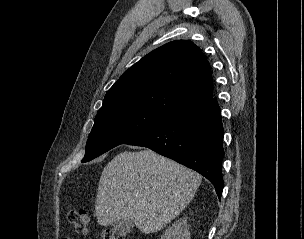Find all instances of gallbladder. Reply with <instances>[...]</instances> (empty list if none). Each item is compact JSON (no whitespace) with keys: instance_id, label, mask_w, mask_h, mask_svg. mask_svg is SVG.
Returning a JSON list of instances; mask_svg holds the SVG:
<instances>
[{"instance_id":"obj_1","label":"gallbladder","mask_w":304,"mask_h":239,"mask_svg":"<svg viewBox=\"0 0 304 239\" xmlns=\"http://www.w3.org/2000/svg\"><path fill=\"white\" fill-rule=\"evenodd\" d=\"M134 227V223L130 219H120L112 224V230L119 236H125L129 234Z\"/></svg>"}]
</instances>
